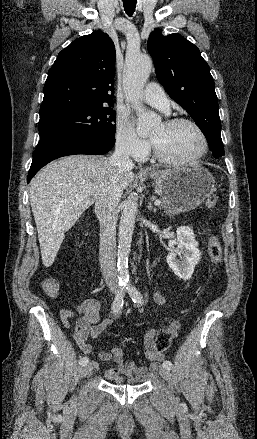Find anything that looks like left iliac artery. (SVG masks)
I'll list each match as a JSON object with an SVG mask.
<instances>
[{
	"mask_svg": "<svg viewBox=\"0 0 257 439\" xmlns=\"http://www.w3.org/2000/svg\"><path fill=\"white\" fill-rule=\"evenodd\" d=\"M125 286H126V290L128 291L130 297L132 298L133 302L135 304H138V305L142 304L143 297H142L141 293L139 292V290L130 283L125 284ZM163 367L170 370L173 367V364L171 361L166 360L163 362Z\"/></svg>",
	"mask_w": 257,
	"mask_h": 439,
	"instance_id": "44dca946",
	"label": "left iliac artery"
}]
</instances>
